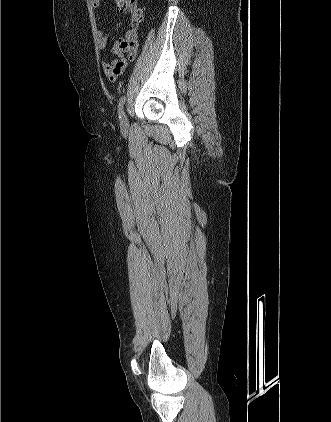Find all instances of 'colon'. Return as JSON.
Masks as SVG:
<instances>
[{
	"mask_svg": "<svg viewBox=\"0 0 331 422\" xmlns=\"http://www.w3.org/2000/svg\"><path fill=\"white\" fill-rule=\"evenodd\" d=\"M118 11L129 15L133 22L140 21L143 18L142 11L138 8L137 0H114Z\"/></svg>",
	"mask_w": 331,
	"mask_h": 422,
	"instance_id": "5ec220e1",
	"label": "colon"
}]
</instances>
